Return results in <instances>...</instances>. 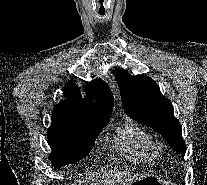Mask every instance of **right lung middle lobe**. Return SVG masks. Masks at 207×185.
<instances>
[{"mask_svg": "<svg viewBox=\"0 0 207 185\" xmlns=\"http://www.w3.org/2000/svg\"><path fill=\"white\" fill-rule=\"evenodd\" d=\"M102 129L53 123L47 132L49 145L53 149L50 156L53 166L69 165L84 158Z\"/></svg>", "mask_w": 207, "mask_h": 185, "instance_id": "dd1d6c3e", "label": "right lung middle lobe"}]
</instances>
